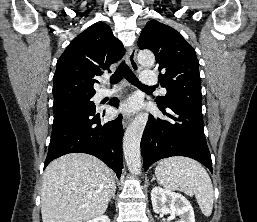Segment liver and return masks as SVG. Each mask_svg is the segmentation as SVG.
Masks as SVG:
<instances>
[{"instance_id":"obj_1","label":"liver","mask_w":257,"mask_h":222,"mask_svg":"<svg viewBox=\"0 0 257 222\" xmlns=\"http://www.w3.org/2000/svg\"><path fill=\"white\" fill-rule=\"evenodd\" d=\"M116 188L111 170L98 158L71 153L52 161L43 174V222H87L104 214Z\"/></svg>"}]
</instances>
